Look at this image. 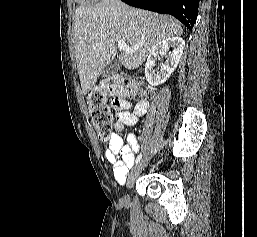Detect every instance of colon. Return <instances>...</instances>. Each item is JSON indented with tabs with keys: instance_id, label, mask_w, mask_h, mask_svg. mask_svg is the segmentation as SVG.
<instances>
[{
	"instance_id": "5ec220e1",
	"label": "colon",
	"mask_w": 257,
	"mask_h": 237,
	"mask_svg": "<svg viewBox=\"0 0 257 237\" xmlns=\"http://www.w3.org/2000/svg\"><path fill=\"white\" fill-rule=\"evenodd\" d=\"M138 93V86L130 79L121 76L103 79L92 89L87 105L90 118L101 140L105 141L111 135L113 114L109 101L113 106L135 98Z\"/></svg>"
}]
</instances>
